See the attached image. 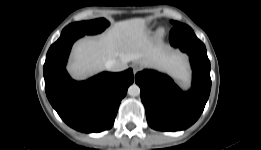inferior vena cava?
Returning <instances> with one entry per match:
<instances>
[{"label": "inferior vena cava", "mask_w": 261, "mask_h": 150, "mask_svg": "<svg viewBox=\"0 0 261 150\" xmlns=\"http://www.w3.org/2000/svg\"><path fill=\"white\" fill-rule=\"evenodd\" d=\"M106 68L113 72H120L127 69V60L122 58L118 60H109L105 64Z\"/></svg>", "instance_id": "obj_1"}]
</instances>
